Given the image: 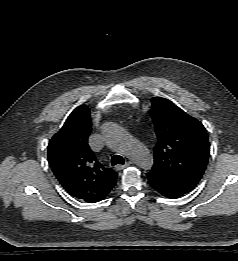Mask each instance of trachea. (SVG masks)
<instances>
[{
  "instance_id": "1",
  "label": "trachea",
  "mask_w": 238,
  "mask_h": 261,
  "mask_svg": "<svg viewBox=\"0 0 238 261\" xmlns=\"http://www.w3.org/2000/svg\"><path fill=\"white\" fill-rule=\"evenodd\" d=\"M111 164L114 166V165H117V164H124V158L120 155H114L112 158H111Z\"/></svg>"
}]
</instances>
